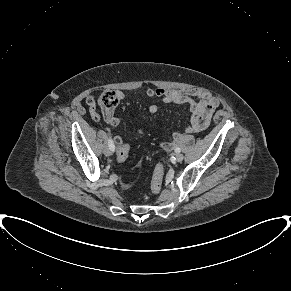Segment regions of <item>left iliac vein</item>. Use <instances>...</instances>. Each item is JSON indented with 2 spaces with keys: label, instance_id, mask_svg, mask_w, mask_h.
Here are the masks:
<instances>
[{
  "label": "left iliac vein",
  "instance_id": "4c4485c4",
  "mask_svg": "<svg viewBox=\"0 0 291 291\" xmlns=\"http://www.w3.org/2000/svg\"><path fill=\"white\" fill-rule=\"evenodd\" d=\"M175 159H176L177 162H181L184 159V156L181 153H177L175 155Z\"/></svg>",
  "mask_w": 291,
  "mask_h": 291
}]
</instances>
